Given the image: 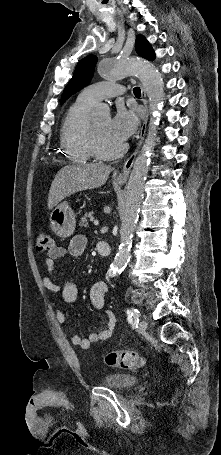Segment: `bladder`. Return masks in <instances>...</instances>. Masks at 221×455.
Wrapping results in <instances>:
<instances>
[{
	"instance_id": "1",
	"label": "bladder",
	"mask_w": 221,
	"mask_h": 455,
	"mask_svg": "<svg viewBox=\"0 0 221 455\" xmlns=\"http://www.w3.org/2000/svg\"><path fill=\"white\" fill-rule=\"evenodd\" d=\"M137 382L138 378L136 376L126 373H110L103 379L105 386L118 390L129 389L136 385Z\"/></svg>"
}]
</instances>
